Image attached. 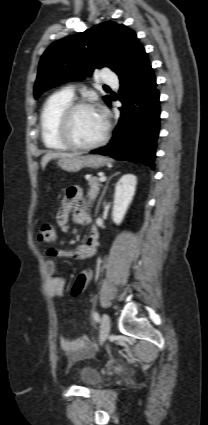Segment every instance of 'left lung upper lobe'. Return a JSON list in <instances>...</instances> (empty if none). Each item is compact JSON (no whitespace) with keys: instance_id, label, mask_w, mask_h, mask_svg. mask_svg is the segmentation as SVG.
Wrapping results in <instances>:
<instances>
[{"instance_id":"obj_1","label":"left lung upper lobe","mask_w":208,"mask_h":425,"mask_svg":"<svg viewBox=\"0 0 208 425\" xmlns=\"http://www.w3.org/2000/svg\"><path fill=\"white\" fill-rule=\"evenodd\" d=\"M145 53L136 33L113 21L100 23L53 43L39 62L34 96L61 83L80 80L95 68L109 67L120 77L129 72ZM107 104L111 98H103Z\"/></svg>"}]
</instances>
